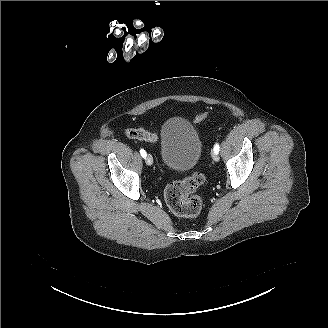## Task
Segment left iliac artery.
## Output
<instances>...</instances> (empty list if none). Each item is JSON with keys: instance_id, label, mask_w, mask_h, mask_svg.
<instances>
[{"instance_id": "1", "label": "left iliac artery", "mask_w": 328, "mask_h": 328, "mask_svg": "<svg viewBox=\"0 0 328 328\" xmlns=\"http://www.w3.org/2000/svg\"><path fill=\"white\" fill-rule=\"evenodd\" d=\"M219 148H220L219 145L216 143V144L214 145V149H213L214 152L218 154V152H219Z\"/></svg>"}]
</instances>
